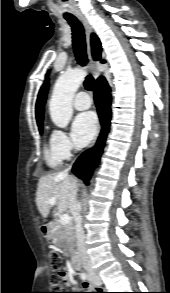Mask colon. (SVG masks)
<instances>
[{
    "label": "colon",
    "mask_w": 170,
    "mask_h": 293,
    "mask_svg": "<svg viewBox=\"0 0 170 293\" xmlns=\"http://www.w3.org/2000/svg\"><path fill=\"white\" fill-rule=\"evenodd\" d=\"M49 261L54 270V274L51 277L53 291L49 293H63L60 291L62 290L64 283H66L68 279L66 273L63 270L62 259L58 254L52 253L49 256Z\"/></svg>",
    "instance_id": "5ec220e1"
}]
</instances>
